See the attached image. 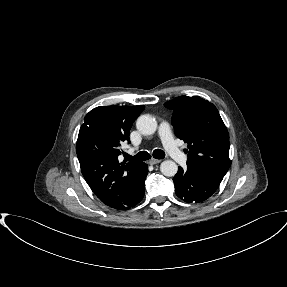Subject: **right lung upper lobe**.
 <instances>
[{"label": "right lung upper lobe", "instance_id": "1", "mask_svg": "<svg viewBox=\"0 0 287 287\" xmlns=\"http://www.w3.org/2000/svg\"><path fill=\"white\" fill-rule=\"evenodd\" d=\"M138 106H101L84 118L78 140L77 157L82 174L96 196L107 206L121 196L141 163H119L120 145L129 141L133 122L144 110Z\"/></svg>", "mask_w": 287, "mask_h": 287}]
</instances>
